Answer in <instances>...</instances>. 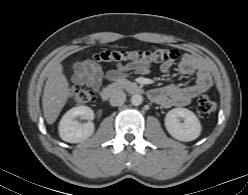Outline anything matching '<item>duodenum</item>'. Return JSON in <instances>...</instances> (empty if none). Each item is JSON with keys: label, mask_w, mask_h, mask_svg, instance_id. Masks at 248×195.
<instances>
[{"label": "duodenum", "mask_w": 248, "mask_h": 195, "mask_svg": "<svg viewBox=\"0 0 248 195\" xmlns=\"http://www.w3.org/2000/svg\"><path fill=\"white\" fill-rule=\"evenodd\" d=\"M122 90L135 95L144 93V88L139 84L124 79H116L103 88L101 96L104 100H108Z\"/></svg>", "instance_id": "410a0bca"}]
</instances>
